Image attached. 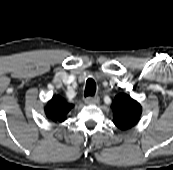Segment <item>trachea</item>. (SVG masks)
<instances>
[{
  "mask_svg": "<svg viewBox=\"0 0 173 170\" xmlns=\"http://www.w3.org/2000/svg\"><path fill=\"white\" fill-rule=\"evenodd\" d=\"M95 89H96L95 81H94L92 78H89V79L86 81L84 96H85V97L93 96L94 93H95Z\"/></svg>",
  "mask_w": 173,
  "mask_h": 170,
  "instance_id": "trachea-1",
  "label": "trachea"
}]
</instances>
